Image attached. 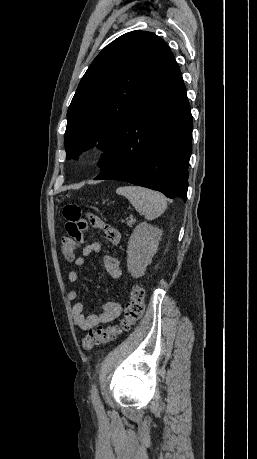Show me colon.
Segmentation results:
<instances>
[{
  "mask_svg": "<svg viewBox=\"0 0 257 459\" xmlns=\"http://www.w3.org/2000/svg\"><path fill=\"white\" fill-rule=\"evenodd\" d=\"M66 227H69L66 225ZM76 244L71 240L70 236H65L61 242V251L65 259L73 260L77 249ZM144 289L136 285L129 292V300L126 305L124 317L113 326L100 327L89 331L82 340V346L86 350H90L95 346L106 344L115 340L123 332H127L131 327L138 322L145 309Z\"/></svg>",
  "mask_w": 257,
  "mask_h": 459,
  "instance_id": "obj_1",
  "label": "colon"
}]
</instances>
